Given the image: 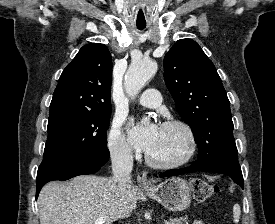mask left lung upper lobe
<instances>
[{
    "label": "left lung upper lobe",
    "mask_w": 275,
    "mask_h": 224,
    "mask_svg": "<svg viewBox=\"0 0 275 224\" xmlns=\"http://www.w3.org/2000/svg\"><path fill=\"white\" fill-rule=\"evenodd\" d=\"M164 80L210 170L240 169L230 103L212 61L191 39L178 40L164 58Z\"/></svg>",
    "instance_id": "5c2ea615"
}]
</instances>
